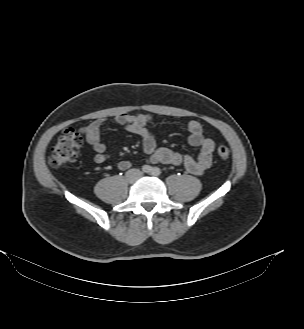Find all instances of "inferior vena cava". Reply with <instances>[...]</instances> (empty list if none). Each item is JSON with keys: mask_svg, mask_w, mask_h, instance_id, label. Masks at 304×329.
<instances>
[{"mask_svg": "<svg viewBox=\"0 0 304 329\" xmlns=\"http://www.w3.org/2000/svg\"><path fill=\"white\" fill-rule=\"evenodd\" d=\"M126 176L130 180H138L142 176V172L138 169H130L126 172Z\"/></svg>", "mask_w": 304, "mask_h": 329, "instance_id": "inferior-vena-cava-1", "label": "inferior vena cava"}]
</instances>
